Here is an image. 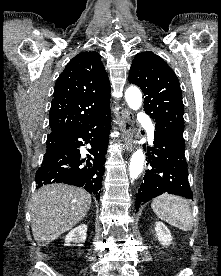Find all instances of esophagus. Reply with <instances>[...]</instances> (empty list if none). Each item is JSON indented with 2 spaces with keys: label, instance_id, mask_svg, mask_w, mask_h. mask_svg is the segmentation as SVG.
I'll use <instances>...</instances> for the list:
<instances>
[{
  "label": "esophagus",
  "instance_id": "1",
  "mask_svg": "<svg viewBox=\"0 0 221 276\" xmlns=\"http://www.w3.org/2000/svg\"><path fill=\"white\" fill-rule=\"evenodd\" d=\"M123 146L127 151H132V140L134 138L132 113L128 108L121 110Z\"/></svg>",
  "mask_w": 221,
  "mask_h": 276
}]
</instances>
